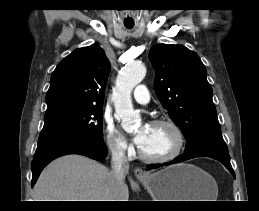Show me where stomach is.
Listing matches in <instances>:
<instances>
[{"mask_svg":"<svg viewBox=\"0 0 259 211\" xmlns=\"http://www.w3.org/2000/svg\"><path fill=\"white\" fill-rule=\"evenodd\" d=\"M140 182L154 201H215L218 194L212 176L191 164L166 167Z\"/></svg>","mask_w":259,"mask_h":211,"instance_id":"obj_1","label":"stomach"}]
</instances>
